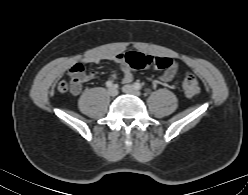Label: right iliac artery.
Returning <instances> with one entry per match:
<instances>
[{
  "label": "right iliac artery",
  "instance_id": "82829eb1",
  "mask_svg": "<svg viewBox=\"0 0 248 195\" xmlns=\"http://www.w3.org/2000/svg\"><path fill=\"white\" fill-rule=\"evenodd\" d=\"M106 86L107 87H112L113 86V82L112 81H107L106 82Z\"/></svg>",
  "mask_w": 248,
  "mask_h": 195
}]
</instances>
